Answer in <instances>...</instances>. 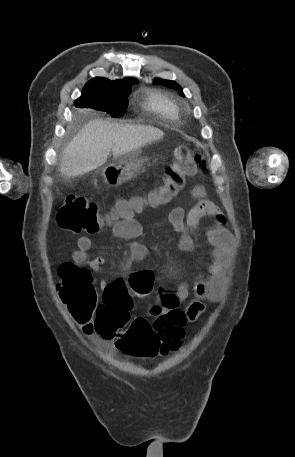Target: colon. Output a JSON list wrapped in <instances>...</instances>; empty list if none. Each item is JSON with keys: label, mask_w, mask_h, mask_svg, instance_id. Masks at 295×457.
Here are the masks:
<instances>
[{"label": "colon", "mask_w": 295, "mask_h": 457, "mask_svg": "<svg viewBox=\"0 0 295 457\" xmlns=\"http://www.w3.org/2000/svg\"><path fill=\"white\" fill-rule=\"evenodd\" d=\"M204 166L193 145H181L164 168L163 182L147 198L119 200L110 212L102 213L94 202L70 195L57 213L58 224L73 233H96L105 226L133 216L148 205L167 203L184 188L186 179ZM59 277L57 290L71 316L79 321L92 322L95 332L103 339H114L122 359L153 360L155 355L182 349L186 315L172 298L166 307L157 306L151 310L152 323L146 318L130 319L133 301L129 289L137 294L149 293L156 283L152 272L142 270L131 274L127 280L129 289L122 280L111 283L104 290L101 303L97 302L92 277L79 265L63 264Z\"/></svg>", "instance_id": "obj_1"}]
</instances>
